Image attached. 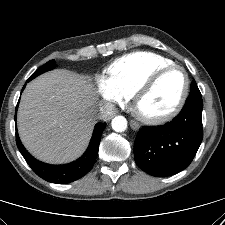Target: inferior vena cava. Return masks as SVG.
I'll list each match as a JSON object with an SVG mask.
<instances>
[{
	"mask_svg": "<svg viewBox=\"0 0 225 225\" xmlns=\"http://www.w3.org/2000/svg\"><path fill=\"white\" fill-rule=\"evenodd\" d=\"M115 111V107L111 103L100 104L99 112L96 114V117L102 120L110 119Z\"/></svg>",
	"mask_w": 225,
	"mask_h": 225,
	"instance_id": "1",
	"label": "inferior vena cava"
}]
</instances>
